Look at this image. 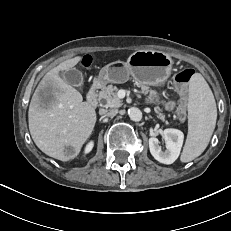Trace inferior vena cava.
<instances>
[{
  "instance_id": "inferior-vena-cava-1",
  "label": "inferior vena cava",
  "mask_w": 231,
  "mask_h": 231,
  "mask_svg": "<svg viewBox=\"0 0 231 231\" xmlns=\"http://www.w3.org/2000/svg\"><path fill=\"white\" fill-rule=\"evenodd\" d=\"M117 113H118L117 109H112V110L108 111L106 115L108 117H114Z\"/></svg>"
}]
</instances>
